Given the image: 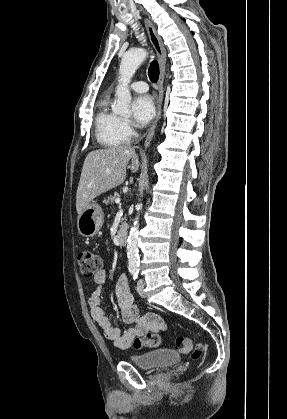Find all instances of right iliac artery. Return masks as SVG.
<instances>
[{
	"label": "right iliac artery",
	"instance_id": "obj_1",
	"mask_svg": "<svg viewBox=\"0 0 287 419\" xmlns=\"http://www.w3.org/2000/svg\"><path fill=\"white\" fill-rule=\"evenodd\" d=\"M130 272H131V274H135V273H136V271H135V270H131Z\"/></svg>",
	"mask_w": 287,
	"mask_h": 419
}]
</instances>
